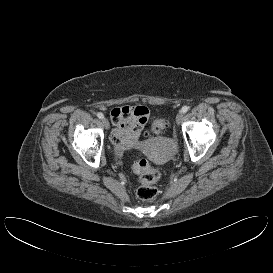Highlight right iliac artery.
<instances>
[{
	"label": "right iliac artery",
	"mask_w": 273,
	"mask_h": 273,
	"mask_svg": "<svg viewBox=\"0 0 273 273\" xmlns=\"http://www.w3.org/2000/svg\"><path fill=\"white\" fill-rule=\"evenodd\" d=\"M97 117L100 118V119H103L104 115L101 112H99V113H97Z\"/></svg>",
	"instance_id": "obj_1"
}]
</instances>
